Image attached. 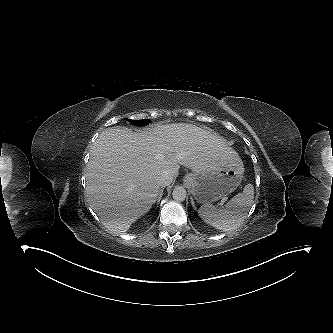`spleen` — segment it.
Here are the masks:
<instances>
[{"label": "spleen", "instance_id": "spleen-1", "mask_svg": "<svg viewBox=\"0 0 333 333\" xmlns=\"http://www.w3.org/2000/svg\"><path fill=\"white\" fill-rule=\"evenodd\" d=\"M254 188L247 184L242 193H238L227 202L224 208H217L212 204L202 205L199 216L205 223L214 228L229 232L240 227L245 220L250 207L253 204Z\"/></svg>", "mask_w": 333, "mask_h": 333}]
</instances>
